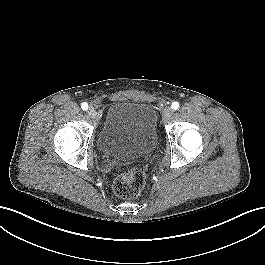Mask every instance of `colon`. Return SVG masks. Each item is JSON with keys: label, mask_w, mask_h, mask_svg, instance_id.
Returning <instances> with one entry per match:
<instances>
[{"label": "colon", "mask_w": 265, "mask_h": 265, "mask_svg": "<svg viewBox=\"0 0 265 265\" xmlns=\"http://www.w3.org/2000/svg\"><path fill=\"white\" fill-rule=\"evenodd\" d=\"M145 186V173L141 168H132L118 174L113 181L114 193L124 199L135 198Z\"/></svg>", "instance_id": "colon-1"}]
</instances>
